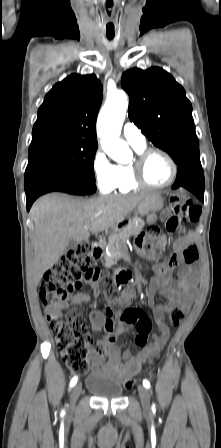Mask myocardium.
<instances>
[{"label":"myocardium","instance_id":"1","mask_svg":"<svg viewBox=\"0 0 221 448\" xmlns=\"http://www.w3.org/2000/svg\"><path fill=\"white\" fill-rule=\"evenodd\" d=\"M153 154H160V155L164 156L172 168V176L164 184H160V185L152 184L151 182L148 181V179L146 177V174H145L146 164H147L149 157ZM131 168H132V172H133V179L138 185H140L142 187L153 188V189H164V188L169 187L170 185H172L175 182V180L177 179V176H178V172H179L178 165H177L175 159L167 151L160 149V148H146V149L142 150L141 152H139L136 155L133 163L131 164Z\"/></svg>","mask_w":221,"mask_h":448}]
</instances>
